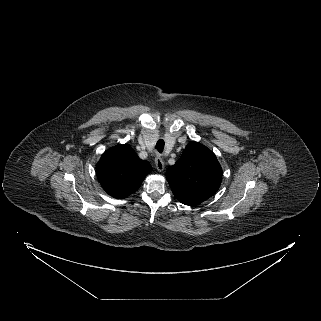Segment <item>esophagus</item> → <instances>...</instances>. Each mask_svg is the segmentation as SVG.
Wrapping results in <instances>:
<instances>
[{"label":"esophagus","instance_id":"obj_1","mask_svg":"<svg viewBox=\"0 0 321 321\" xmlns=\"http://www.w3.org/2000/svg\"><path fill=\"white\" fill-rule=\"evenodd\" d=\"M155 166H156V169H157L159 172H161V171L164 170L165 165H164L163 160H162L160 157H156V158H155Z\"/></svg>","mask_w":321,"mask_h":321}]
</instances>
